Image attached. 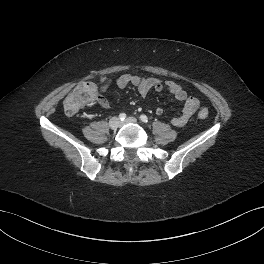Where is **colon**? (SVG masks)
<instances>
[{"mask_svg":"<svg viewBox=\"0 0 264 264\" xmlns=\"http://www.w3.org/2000/svg\"><path fill=\"white\" fill-rule=\"evenodd\" d=\"M98 94V87L93 82L80 83L69 94L64 101V111L68 115L76 114L81 108L93 102ZM199 117L205 119L208 117V110L203 108L199 111Z\"/></svg>","mask_w":264,"mask_h":264,"instance_id":"colon-1","label":"colon"}]
</instances>
